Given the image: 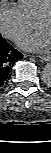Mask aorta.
<instances>
[{"mask_svg": "<svg viewBox=\"0 0 51 153\" xmlns=\"http://www.w3.org/2000/svg\"><path fill=\"white\" fill-rule=\"evenodd\" d=\"M42 80L45 84H51V65L47 63L42 71Z\"/></svg>", "mask_w": 51, "mask_h": 153, "instance_id": "obj_1", "label": "aorta"}]
</instances>
